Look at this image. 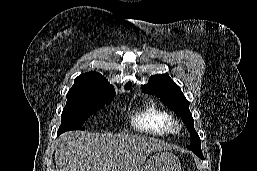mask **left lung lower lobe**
<instances>
[{
    "label": "left lung lower lobe",
    "instance_id": "1",
    "mask_svg": "<svg viewBox=\"0 0 257 171\" xmlns=\"http://www.w3.org/2000/svg\"><path fill=\"white\" fill-rule=\"evenodd\" d=\"M199 158L203 159V154L201 153H195Z\"/></svg>",
    "mask_w": 257,
    "mask_h": 171
}]
</instances>
